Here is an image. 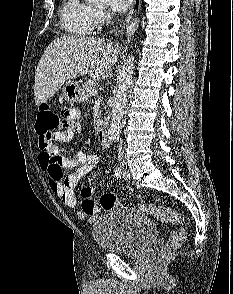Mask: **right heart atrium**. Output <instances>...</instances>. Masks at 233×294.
<instances>
[{"label": "right heart atrium", "instance_id": "d8ad5b80", "mask_svg": "<svg viewBox=\"0 0 233 294\" xmlns=\"http://www.w3.org/2000/svg\"><path fill=\"white\" fill-rule=\"evenodd\" d=\"M111 18V15L108 11L105 10H96V22L97 25H102L109 21Z\"/></svg>", "mask_w": 233, "mask_h": 294}]
</instances>
